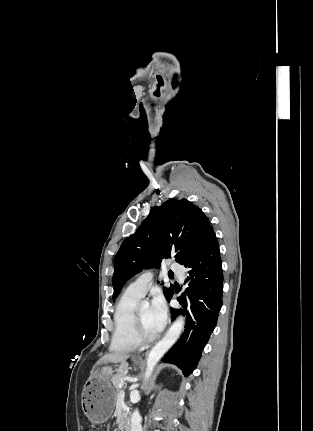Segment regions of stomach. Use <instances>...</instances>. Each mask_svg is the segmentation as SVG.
I'll return each instance as SVG.
<instances>
[{
  "label": "stomach",
  "mask_w": 313,
  "mask_h": 431,
  "mask_svg": "<svg viewBox=\"0 0 313 431\" xmlns=\"http://www.w3.org/2000/svg\"><path fill=\"white\" fill-rule=\"evenodd\" d=\"M134 364L139 365L140 362L134 360ZM114 372L111 366H104L83 387L82 409L93 424L106 422L114 410L116 392L110 381Z\"/></svg>",
  "instance_id": "obj_1"
}]
</instances>
